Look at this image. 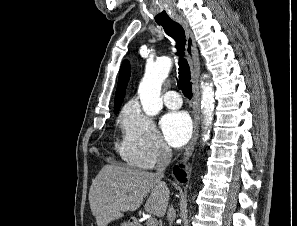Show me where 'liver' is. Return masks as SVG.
I'll return each mask as SVG.
<instances>
[{
    "instance_id": "1",
    "label": "liver",
    "mask_w": 297,
    "mask_h": 226,
    "mask_svg": "<svg viewBox=\"0 0 297 226\" xmlns=\"http://www.w3.org/2000/svg\"><path fill=\"white\" fill-rule=\"evenodd\" d=\"M149 193L145 210L163 217L170 192L161 178L148 171L105 165L89 191L90 208L97 225L107 226L125 212L137 210Z\"/></svg>"
}]
</instances>
